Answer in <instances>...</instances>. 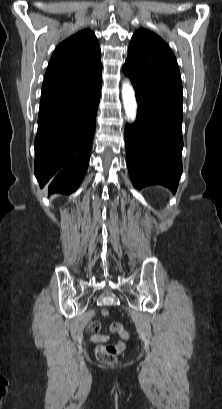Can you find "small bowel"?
<instances>
[{
	"label": "small bowel",
	"mask_w": 222,
	"mask_h": 409,
	"mask_svg": "<svg viewBox=\"0 0 222 409\" xmlns=\"http://www.w3.org/2000/svg\"><path fill=\"white\" fill-rule=\"evenodd\" d=\"M100 329V324L98 322H91L89 326V331L92 333L91 341L94 343H104L109 340V336L106 334H100L97 331Z\"/></svg>",
	"instance_id": "1"
}]
</instances>
